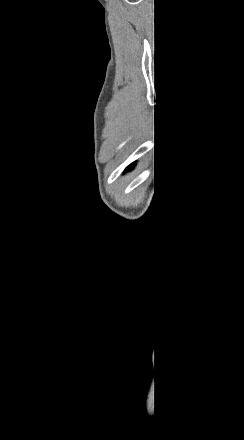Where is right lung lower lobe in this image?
<instances>
[{"mask_svg": "<svg viewBox=\"0 0 244 440\" xmlns=\"http://www.w3.org/2000/svg\"><path fill=\"white\" fill-rule=\"evenodd\" d=\"M133 166L134 164H131L130 166L127 167V170H130Z\"/></svg>", "mask_w": 244, "mask_h": 440, "instance_id": "obj_1", "label": "right lung lower lobe"}]
</instances>
